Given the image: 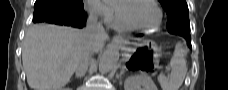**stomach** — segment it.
Instances as JSON below:
<instances>
[{"label": "stomach", "mask_w": 228, "mask_h": 90, "mask_svg": "<svg viewBox=\"0 0 228 90\" xmlns=\"http://www.w3.org/2000/svg\"><path fill=\"white\" fill-rule=\"evenodd\" d=\"M138 46L140 47L139 51L134 49L131 52L133 56L131 57L129 64L136 65L144 70L156 68L161 56L160 48L150 40H144Z\"/></svg>", "instance_id": "obj_1"}]
</instances>
